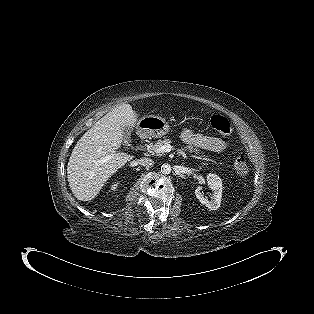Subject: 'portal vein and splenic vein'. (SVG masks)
Wrapping results in <instances>:
<instances>
[{"mask_svg":"<svg viewBox=\"0 0 314 314\" xmlns=\"http://www.w3.org/2000/svg\"><path fill=\"white\" fill-rule=\"evenodd\" d=\"M172 149H173V147H172L170 144H164V145L160 146V147L156 150V152H157V153L170 152ZM179 153H180L181 155L185 156V153H184L183 151L179 150ZM110 158H111V155H109V156L103 158V159H102V162H106V161H108Z\"/></svg>","mask_w":314,"mask_h":314,"instance_id":"portal-vein-and-splenic-vein-1","label":"portal vein and splenic vein"}]
</instances>
